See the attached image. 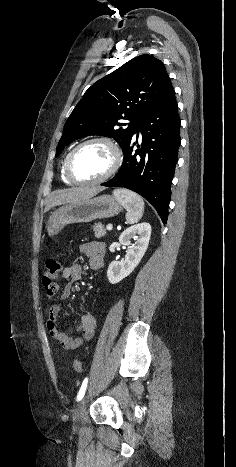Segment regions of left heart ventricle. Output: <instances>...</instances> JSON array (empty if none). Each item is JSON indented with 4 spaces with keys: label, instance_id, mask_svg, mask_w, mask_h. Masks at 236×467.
<instances>
[{
    "label": "left heart ventricle",
    "instance_id": "b2bd125f",
    "mask_svg": "<svg viewBox=\"0 0 236 467\" xmlns=\"http://www.w3.org/2000/svg\"><path fill=\"white\" fill-rule=\"evenodd\" d=\"M112 160L108 146L100 143L90 144L76 154L72 164L73 173L82 181L95 180L106 174Z\"/></svg>",
    "mask_w": 236,
    "mask_h": 467
}]
</instances>
